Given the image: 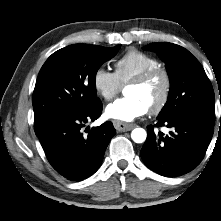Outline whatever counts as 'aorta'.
I'll list each match as a JSON object with an SVG mask.
<instances>
[{"mask_svg": "<svg viewBox=\"0 0 221 221\" xmlns=\"http://www.w3.org/2000/svg\"><path fill=\"white\" fill-rule=\"evenodd\" d=\"M146 137L147 133L143 128H135L131 133V138L135 143H143Z\"/></svg>", "mask_w": 221, "mask_h": 221, "instance_id": "762f6f07", "label": "aorta"}]
</instances>
